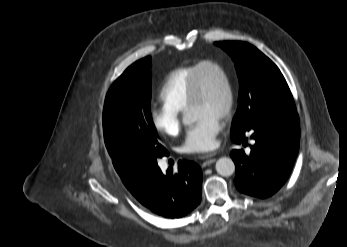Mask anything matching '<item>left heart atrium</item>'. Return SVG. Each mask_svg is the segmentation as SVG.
I'll return each mask as SVG.
<instances>
[{
  "label": "left heart atrium",
  "instance_id": "1",
  "mask_svg": "<svg viewBox=\"0 0 347 247\" xmlns=\"http://www.w3.org/2000/svg\"><path fill=\"white\" fill-rule=\"evenodd\" d=\"M221 128V118L211 115L200 117L188 128L182 143V151L203 153L211 150L215 146V139Z\"/></svg>",
  "mask_w": 347,
  "mask_h": 247
}]
</instances>
